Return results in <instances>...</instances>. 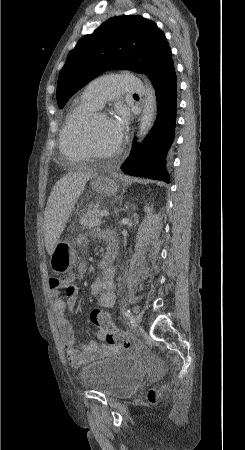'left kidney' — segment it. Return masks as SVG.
<instances>
[{"mask_svg":"<svg viewBox=\"0 0 245 450\" xmlns=\"http://www.w3.org/2000/svg\"><path fill=\"white\" fill-rule=\"evenodd\" d=\"M150 210H152L150 207H145V212L148 214V213H150Z\"/></svg>","mask_w":245,"mask_h":450,"instance_id":"obj_1","label":"left kidney"}]
</instances>
